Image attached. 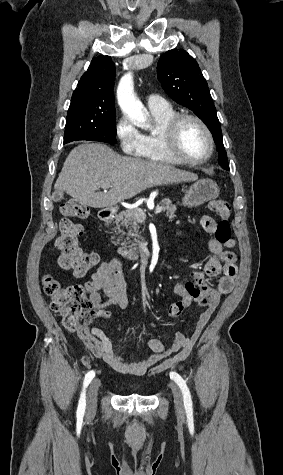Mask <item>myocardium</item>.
Segmentation results:
<instances>
[{
  "label": "myocardium",
  "mask_w": 283,
  "mask_h": 475,
  "mask_svg": "<svg viewBox=\"0 0 283 475\" xmlns=\"http://www.w3.org/2000/svg\"><path fill=\"white\" fill-rule=\"evenodd\" d=\"M185 120H193L197 122L203 129L209 144V149L205 155L198 158H187L172 157L167 153L166 144L170 143L174 145L177 143L180 126ZM157 149L164 162H205L213 156L215 151V142L211 130L200 117L193 114L182 113L175 115L163 128L159 137Z\"/></svg>",
  "instance_id": "obj_1"
}]
</instances>
